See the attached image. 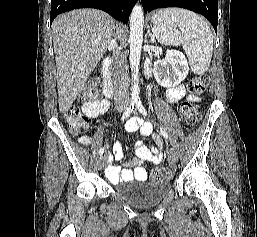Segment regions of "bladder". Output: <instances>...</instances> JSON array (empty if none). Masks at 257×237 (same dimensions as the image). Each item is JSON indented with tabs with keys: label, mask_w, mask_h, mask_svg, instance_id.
I'll use <instances>...</instances> for the list:
<instances>
[{
	"label": "bladder",
	"mask_w": 257,
	"mask_h": 237,
	"mask_svg": "<svg viewBox=\"0 0 257 237\" xmlns=\"http://www.w3.org/2000/svg\"><path fill=\"white\" fill-rule=\"evenodd\" d=\"M129 182L136 183L139 186L129 187L125 190H118L117 194L127 204L136 209H149L158 205L171 189V183L168 180H132Z\"/></svg>",
	"instance_id": "bladder-1"
}]
</instances>
